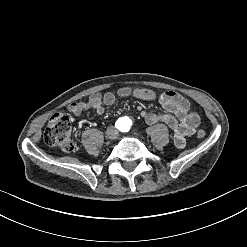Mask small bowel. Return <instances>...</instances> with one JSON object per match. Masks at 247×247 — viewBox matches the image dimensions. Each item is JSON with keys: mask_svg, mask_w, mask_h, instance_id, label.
<instances>
[{"mask_svg": "<svg viewBox=\"0 0 247 247\" xmlns=\"http://www.w3.org/2000/svg\"><path fill=\"white\" fill-rule=\"evenodd\" d=\"M137 89L138 87L134 86H123L117 90L116 94L112 92H106L103 95L94 93L87 101L71 103L68 106V111L75 116L89 109L102 114L106 107L112 106L116 101L122 102L123 97H133L142 100L137 94ZM151 100H157L168 113L162 114L140 110L141 118L149 125L159 122L166 124L173 130L175 147L177 149L185 148L187 137L194 133L195 129L200 125L199 114L196 112L190 114L189 102L173 91H167L160 95L155 94Z\"/></svg>", "mask_w": 247, "mask_h": 247, "instance_id": "small-bowel-1", "label": "small bowel"}]
</instances>
